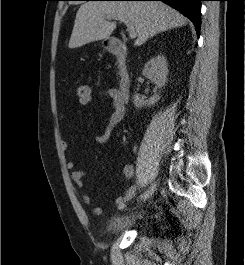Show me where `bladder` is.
<instances>
[{"mask_svg":"<svg viewBox=\"0 0 245 265\" xmlns=\"http://www.w3.org/2000/svg\"><path fill=\"white\" fill-rule=\"evenodd\" d=\"M141 223L139 218H124L120 216H112L106 223L105 232L108 234L118 233L130 229Z\"/></svg>","mask_w":245,"mask_h":265,"instance_id":"31cf9c89","label":"bladder"}]
</instances>
